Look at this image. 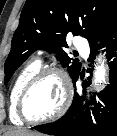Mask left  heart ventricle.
Listing matches in <instances>:
<instances>
[{
  "mask_svg": "<svg viewBox=\"0 0 117 136\" xmlns=\"http://www.w3.org/2000/svg\"><path fill=\"white\" fill-rule=\"evenodd\" d=\"M63 89L59 77L49 75L40 80L31 90L25 102L29 118H45L57 111L62 103Z\"/></svg>",
  "mask_w": 117,
  "mask_h": 136,
  "instance_id": "left-heart-ventricle-1",
  "label": "left heart ventricle"
}]
</instances>
